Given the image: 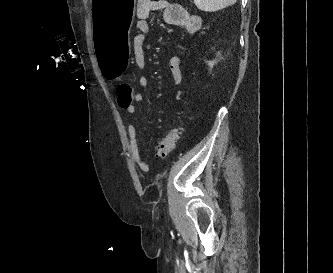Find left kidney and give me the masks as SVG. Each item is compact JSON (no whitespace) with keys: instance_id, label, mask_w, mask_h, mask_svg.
<instances>
[{"instance_id":"1","label":"left kidney","mask_w":333,"mask_h":273,"mask_svg":"<svg viewBox=\"0 0 333 273\" xmlns=\"http://www.w3.org/2000/svg\"><path fill=\"white\" fill-rule=\"evenodd\" d=\"M208 65H209L210 67H213V65H214V61H209V62H208Z\"/></svg>"}]
</instances>
